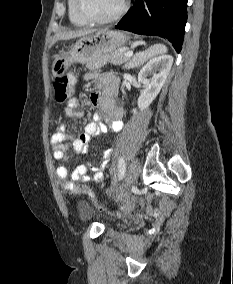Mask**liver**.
Instances as JSON below:
<instances>
[{
    "label": "liver",
    "mask_w": 233,
    "mask_h": 284,
    "mask_svg": "<svg viewBox=\"0 0 233 284\" xmlns=\"http://www.w3.org/2000/svg\"><path fill=\"white\" fill-rule=\"evenodd\" d=\"M98 30L96 29H78V30H69V31H59L57 32L50 44V47L53 46L57 41L60 40H70V39H75L78 37H84L87 35H90ZM101 31V30H99Z\"/></svg>",
    "instance_id": "1"
}]
</instances>
